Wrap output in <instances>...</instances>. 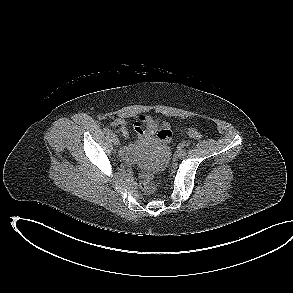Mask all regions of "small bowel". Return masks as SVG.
I'll list each match as a JSON object with an SVG mask.
<instances>
[{"instance_id":"obj_1","label":"small bowel","mask_w":293,"mask_h":293,"mask_svg":"<svg viewBox=\"0 0 293 293\" xmlns=\"http://www.w3.org/2000/svg\"><path fill=\"white\" fill-rule=\"evenodd\" d=\"M111 125L116 128L122 136H128V122L125 119L117 118L111 122ZM167 127V123L159 122L148 115L140 116L139 120L134 123V131L140 141L149 140L160 128Z\"/></svg>"}]
</instances>
